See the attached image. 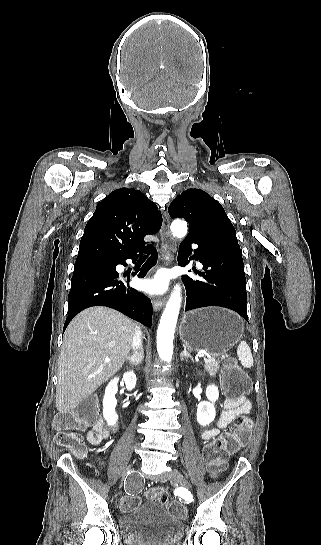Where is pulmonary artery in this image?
I'll return each instance as SVG.
<instances>
[{
	"mask_svg": "<svg viewBox=\"0 0 321 545\" xmlns=\"http://www.w3.org/2000/svg\"><path fill=\"white\" fill-rule=\"evenodd\" d=\"M197 265H198V266H201V263H200V262H197Z\"/></svg>",
	"mask_w": 321,
	"mask_h": 545,
	"instance_id": "pulmonary-artery-1",
	"label": "pulmonary artery"
}]
</instances>
